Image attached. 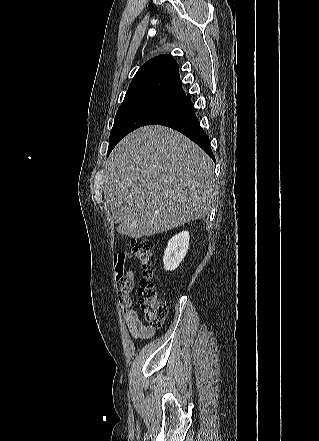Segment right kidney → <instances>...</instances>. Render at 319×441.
<instances>
[{"instance_id":"1","label":"right kidney","mask_w":319,"mask_h":441,"mask_svg":"<svg viewBox=\"0 0 319 441\" xmlns=\"http://www.w3.org/2000/svg\"><path fill=\"white\" fill-rule=\"evenodd\" d=\"M189 239V232L182 231L169 240L163 257L166 271L175 270L179 266L188 251Z\"/></svg>"}]
</instances>
